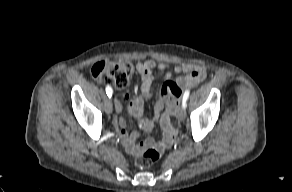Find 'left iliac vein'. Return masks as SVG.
<instances>
[{"label": "left iliac vein", "instance_id": "obj_1", "mask_svg": "<svg viewBox=\"0 0 292 192\" xmlns=\"http://www.w3.org/2000/svg\"><path fill=\"white\" fill-rule=\"evenodd\" d=\"M185 117H186V110L185 108L182 106V108L179 110L178 112V115H177V118L179 121H184L185 120Z\"/></svg>", "mask_w": 292, "mask_h": 192}]
</instances>
